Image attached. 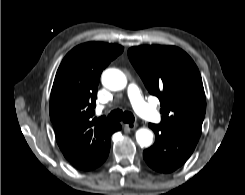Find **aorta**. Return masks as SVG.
<instances>
[{
	"label": "aorta",
	"mask_w": 245,
	"mask_h": 195,
	"mask_svg": "<svg viewBox=\"0 0 245 195\" xmlns=\"http://www.w3.org/2000/svg\"><path fill=\"white\" fill-rule=\"evenodd\" d=\"M104 87L119 91L126 87L127 79L123 72L118 69H106L101 78ZM136 141L141 147H149L153 142V133L147 128H140L136 131Z\"/></svg>",
	"instance_id": "obj_1"
}]
</instances>
